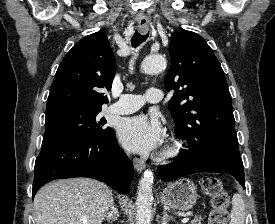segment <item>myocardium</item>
<instances>
[{"mask_svg":"<svg viewBox=\"0 0 275 224\" xmlns=\"http://www.w3.org/2000/svg\"><path fill=\"white\" fill-rule=\"evenodd\" d=\"M180 149V143L177 140H172L162 151L161 156L163 158L173 157Z\"/></svg>","mask_w":275,"mask_h":224,"instance_id":"f54148a6","label":"myocardium"}]
</instances>
